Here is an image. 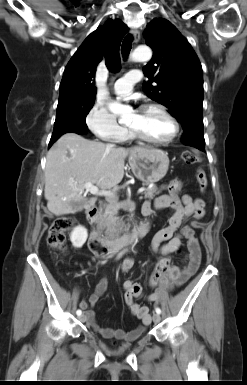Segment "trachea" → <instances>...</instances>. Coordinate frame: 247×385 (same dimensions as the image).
I'll list each match as a JSON object with an SVG mask.
<instances>
[{
	"mask_svg": "<svg viewBox=\"0 0 247 385\" xmlns=\"http://www.w3.org/2000/svg\"><path fill=\"white\" fill-rule=\"evenodd\" d=\"M132 40H133V36L131 34H128L123 40L121 51L125 59L128 57L130 50L132 48Z\"/></svg>",
	"mask_w": 247,
	"mask_h": 385,
	"instance_id": "3493384b",
	"label": "trachea"
}]
</instances>
